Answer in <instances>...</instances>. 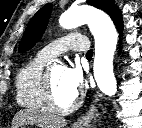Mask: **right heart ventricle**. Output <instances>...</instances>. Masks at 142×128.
I'll list each match as a JSON object with an SVG mask.
<instances>
[{"mask_svg": "<svg viewBox=\"0 0 142 128\" xmlns=\"http://www.w3.org/2000/svg\"><path fill=\"white\" fill-rule=\"evenodd\" d=\"M48 59L38 53L18 72L16 77V97L21 106L32 110L47 108L44 100V87L45 64Z\"/></svg>", "mask_w": 142, "mask_h": 128, "instance_id": "e07e8e85", "label": "right heart ventricle"}]
</instances>
